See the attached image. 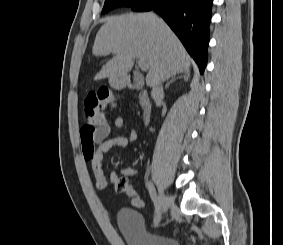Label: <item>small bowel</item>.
<instances>
[{
	"instance_id": "obj_1",
	"label": "small bowel",
	"mask_w": 283,
	"mask_h": 245,
	"mask_svg": "<svg viewBox=\"0 0 283 245\" xmlns=\"http://www.w3.org/2000/svg\"><path fill=\"white\" fill-rule=\"evenodd\" d=\"M114 124L118 129L127 131V136L110 138L112 127L106 121L101 125L88 126L85 124L80 130L82 154L84 159L91 164L95 186L99 190L106 189L109 185L115 187L120 177L128 179L138 173L135 167H124L112 171L109 178L105 176L102 166L104 155L113 147H127L137 138L135 129L123 117L118 116Z\"/></svg>"
}]
</instances>
